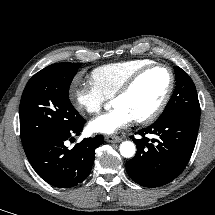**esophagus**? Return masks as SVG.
<instances>
[{
	"label": "esophagus",
	"instance_id": "34e87169",
	"mask_svg": "<svg viewBox=\"0 0 215 215\" xmlns=\"http://www.w3.org/2000/svg\"><path fill=\"white\" fill-rule=\"evenodd\" d=\"M105 140L111 143H119L122 141V138L119 136H106Z\"/></svg>",
	"mask_w": 215,
	"mask_h": 215
}]
</instances>
